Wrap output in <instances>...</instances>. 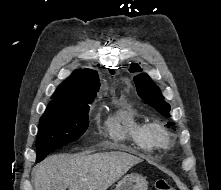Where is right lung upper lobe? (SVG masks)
Masks as SVG:
<instances>
[{"instance_id": "obj_1", "label": "right lung upper lobe", "mask_w": 221, "mask_h": 190, "mask_svg": "<svg viewBox=\"0 0 221 190\" xmlns=\"http://www.w3.org/2000/svg\"><path fill=\"white\" fill-rule=\"evenodd\" d=\"M99 87L97 71L77 69L58 86L47 108H70L94 100Z\"/></svg>"}]
</instances>
